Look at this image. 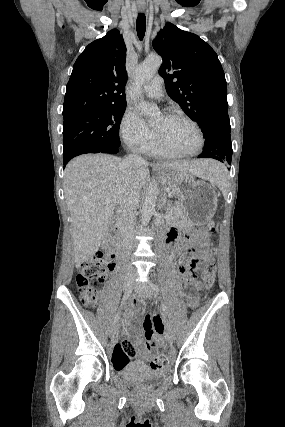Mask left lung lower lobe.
I'll use <instances>...</instances> for the list:
<instances>
[{"label": "left lung lower lobe", "mask_w": 285, "mask_h": 427, "mask_svg": "<svg viewBox=\"0 0 285 427\" xmlns=\"http://www.w3.org/2000/svg\"><path fill=\"white\" fill-rule=\"evenodd\" d=\"M230 131V124L212 123L203 127L205 145L198 157L213 158L230 165L232 158Z\"/></svg>", "instance_id": "1"}]
</instances>
